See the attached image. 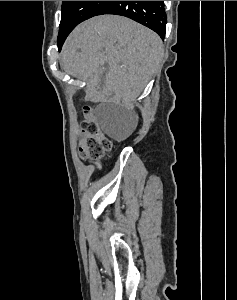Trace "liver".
I'll list each match as a JSON object with an SVG mask.
<instances>
[{
	"instance_id": "obj_1",
	"label": "liver",
	"mask_w": 237,
	"mask_h": 300,
	"mask_svg": "<svg viewBox=\"0 0 237 300\" xmlns=\"http://www.w3.org/2000/svg\"><path fill=\"white\" fill-rule=\"evenodd\" d=\"M163 43L143 25L118 17L100 15L78 25L67 37L61 63L76 77H92L90 97L112 95L113 101L132 105L163 59Z\"/></svg>"
}]
</instances>
